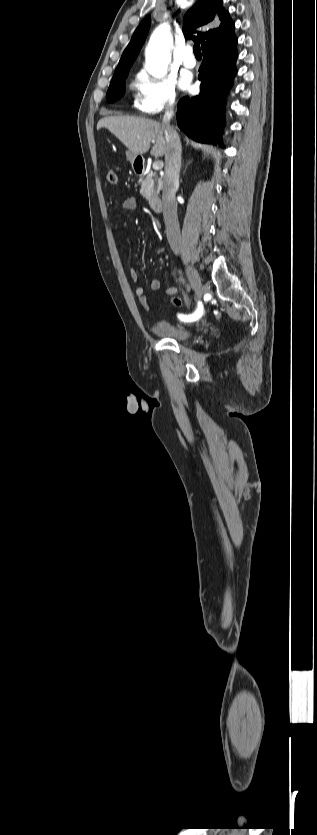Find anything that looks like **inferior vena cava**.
<instances>
[{"label":"inferior vena cava","mask_w":317,"mask_h":835,"mask_svg":"<svg viewBox=\"0 0 317 835\" xmlns=\"http://www.w3.org/2000/svg\"><path fill=\"white\" fill-rule=\"evenodd\" d=\"M174 115V106L170 103L166 107L162 125L165 129V177L162 192L163 216L169 245L175 254H179L181 247L180 228L177 216V202L175 198L179 187V173L181 168V143L179 136L170 126Z\"/></svg>","instance_id":"1"}]
</instances>
